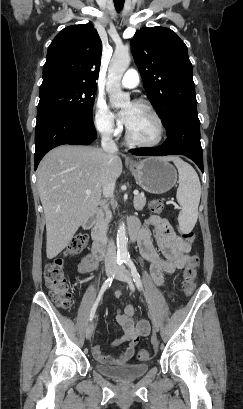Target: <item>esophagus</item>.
I'll return each mask as SVG.
<instances>
[{
    "mask_svg": "<svg viewBox=\"0 0 243 409\" xmlns=\"http://www.w3.org/2000/svg\"><path fill=\"white\" fill-rule=\"evenodd\" d=\"M128 161L132 162V159H131V158H128Z\"/></svg>",
    "mask_w": 243,
    "mask_h": 409,
    "instance_id": "obj_1",
    "label": "esophagus"
}]
</instances>
